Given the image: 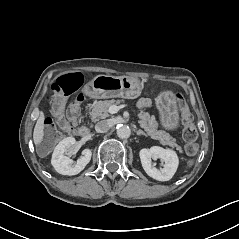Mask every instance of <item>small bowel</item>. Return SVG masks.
I'll use <instances>...</instances> for the list:
<instances>
[{"label":"small bowel","instance_id":"obj_1","mask_svg":"<svg viewBox=\"0 0 239 239\" xmlns=\"http://www.w3.org/2000/svg\"><path fill=\"white\" fill-rule=\"evenodd\" d=\"M151 105V101L147 98H142L138 101V106L140 108H148Z\"/></svg>","mask_w":239,"mask_h":239}]
</instances>
